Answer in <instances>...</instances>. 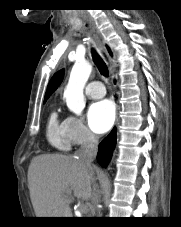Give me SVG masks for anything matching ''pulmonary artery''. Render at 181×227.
<instances>
[{"label": "pulmonary artery", "instance_id": "1", "mask_svg": "<svg viewBox=\"0 0 181 227\" xmlns=\"http://www.w3.org/2000/svg\"><path fill=\"white\" fill-rule=\"evenodd\" d=\"M85 94L89 98L98 99L106 94V90L100 81H92L85 87Z\"/></svg>", "mask_w": 181, "mask_h": 227}]
</instances>
